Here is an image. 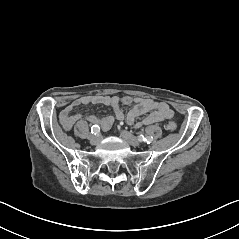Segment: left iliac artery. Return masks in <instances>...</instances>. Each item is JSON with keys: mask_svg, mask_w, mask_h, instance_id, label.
Instances as JSON below:
<instances>
[{"mask_svg": "<svg viewBox=\"0 0 239 239\" xmlns=\"http://www.w3.org/2000/svg\"><path fill=\"white\" fill-rule=\"evenodd\" d=\"M139 139L148 144H150L153 141V137H151V136L140 135Z\"/></svg>", "mask_w": 239, "mask_h": 239, "instance_id": "44dca946", "label": "left iliac artery"}]
</instances>
